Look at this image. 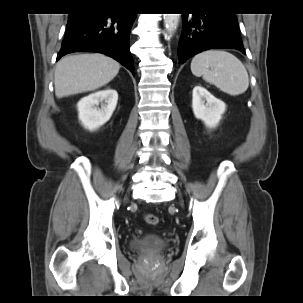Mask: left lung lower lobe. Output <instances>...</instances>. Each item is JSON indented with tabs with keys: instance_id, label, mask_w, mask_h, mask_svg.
<instances>
[{
	"instance_id": "1",
	"label": "left lung lower lobe",
	"mask_w": 303,
	"mask_h": 303,
	"mask_svg": "<svg viewBox=\"0 0 303 303\" xmlns=\"http://www.w3.org/2000/svg\"><path fill=\"white\" fill-rule=\"evenodd\" d=\"M183 28L178 45V59L184 63L208 49H236L245 54L234 13L183 14Z\"/></svg>"
}]
</instances>
